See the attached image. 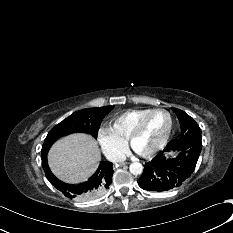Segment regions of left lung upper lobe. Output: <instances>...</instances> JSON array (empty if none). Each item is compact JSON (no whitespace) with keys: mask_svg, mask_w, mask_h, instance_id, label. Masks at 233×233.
Returning <instances> with one entry per match:
<instances>
[{"mask_svg":"<svg viewBox=\"0 0 233 233\" xmlns=\"http://www.w3.org/2000/svg\"><path fill=\"white\" fill-rule=\"evenodd\" d=\"M172 110L177 115L181 125V137L172 141V143L178 145H187L190 148H193L195 144L202 145L201 129L195 120L180 109L172 108Z\"/></svg>","mask_w":233,"mask_h":233,"instance_id":"1","label":"left lung upper lobe"}]
</instances>
